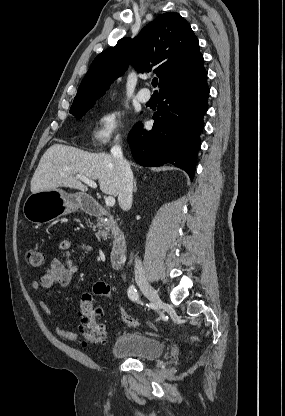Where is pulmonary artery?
<instances>
[{
	"mask_svg": "<svg viewBox=\"0 0 285 416\" xmlns=\"http://www.w3.org/2000/svg\"><path fill=\"white\" fill-rule=\"evenodd\" d=\"M139 101L146 103L150 100L151 94L149 93V89L147 87H140L138 89V95H137Z\"/></svg>",
	"mask_w": 285,
	"mask_h": 416,
	"instance_id": "e3ab8cb5",
	"label": "pulmonary artery"
}]
</instances>
